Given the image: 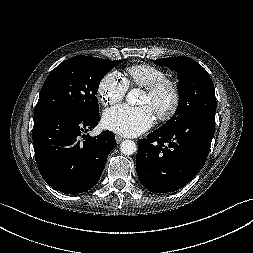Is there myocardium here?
I'll use <instances>...</instances> for the list:
<instances>
[{"mask_svg":"<svg viewBox=\"0 0 253 253\" xmlns=\"http://www.w3.org/2000/svg\"><path fill=\"white\" fill-rule=\"evenodd\" d=\"M145 92L153 100L155 113L160 121H169L177 113L181 96L177 85L170 79L163 78L145 87ZM165 100L164 104L161 101Z\"/></svg>","mask_w":253,"mask_h":253,"instance_id":"f54148a6","label":"myocardium"}]
</instances>
